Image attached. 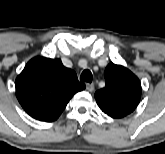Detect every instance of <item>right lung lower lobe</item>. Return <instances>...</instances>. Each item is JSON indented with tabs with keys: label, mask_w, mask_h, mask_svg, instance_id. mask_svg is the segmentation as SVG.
<instances>
[{
	"label": "right lung lower lobe",
	"mask_w": 165,
	"mask_h": 154,
	"mask_svg": "<svg viewBox=\"0 0 165 154\" xmlns=\"http://www.w3.org/2000/svg\"><path fill=\"white\" fill-rule=\"evenodd\" d=\"M59 117V116H58ZM58 117H56L55 119H53V120H50V121H54V120H56ZM50 121H48V122H50Z\"/></svg>",
	"instance_id": "1"
}]
</instances>
